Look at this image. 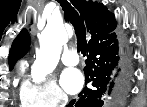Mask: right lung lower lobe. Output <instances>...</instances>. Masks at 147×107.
I'll return each instance as SVG.
<instances>
[{"label":"right lung lower lobe","mask_w":147,"mask_h":107,"mask_svg":"<svg viewBox=\"0 0 147 107\" xmlns=\"http://www.w3.org/2000/svg\"><path fill=\"white\" fill-rule=\"evenodd\" d=\"M118 40L112 33L96 45L89 46V55L86 62L85 82H92V89H83L79 96L70 101L67 107H101L102 95L111 92L114 82L111 74L118 65ZM115 77H118L117 90L120 93L127 91L129 70L126 65L117 69Z\"/></svg>","instance_id":"right-lung-lower-lobe-1"}]
</instances>
